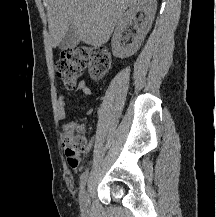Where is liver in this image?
I'll list each match as a JSON object with an SVG mask.
<instances>
[{
    "label": "liver",
    "instance_id": "6515ba94",
    "mask_svg": "<svg viewBox=\"0 0 216 217\" xmlns=\"http://www.w3.org/2000/svg\"><path fill=\"white\" fill-rule=\"evenodd\" d=\"M137 0H49L47 9L52 46L59 45L70 25L80 40L94 47L106 43L123 12Z\"/></svg>",
    "mask_w": 216,
    "mask_h": 217
}]
</instances>
